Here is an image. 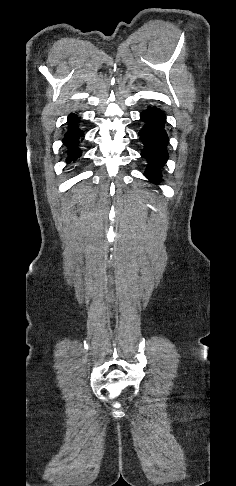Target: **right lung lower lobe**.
Wrapping results in <instances>:
<instances>
[{
    "label": "right lung lower lobe",
    "instance_id": "right-lung-lower-lobe-1",
    "mask_svg": "<svg viewBox=\"0 0 236 486\" xmlns=\"http://www.w3.org/2000/svg\"><path fill=\"white\" fill-rule=\"evenodd\" d=\"M80 118L76 114H70L68 116V130L63 138V144L67 148V163L75 161L81 154V150L78 145L83 136V131L78 128V122Z\"/></svg>",
    "mask_w": 236,
    "mask_h": 486
}]
</instances>
